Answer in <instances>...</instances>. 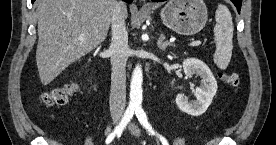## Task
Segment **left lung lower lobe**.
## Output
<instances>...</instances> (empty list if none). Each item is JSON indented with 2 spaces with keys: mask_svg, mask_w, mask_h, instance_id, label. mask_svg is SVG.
I'll use <instances>...</instances> for the list:
<instances>
[{
  "mask_svg": "<svg viewBox=\"0 0 276 145\" xmlns=\"http://www.w3.org/2000/svg\"><path fill=\"white\" fill-rule=\"evenodd\" d=\"M152 1H154V2H162V1H165V0H152ZM231 1L237 7L238 12L240 13L242 0H231Z\"/></svg>",
  "mask_w": 276,
  "mask_h": 145,
  "instance_id": "left-lung-lower-lobe-1",
  "label": "left lung lower lobe"
}]
</instances>
